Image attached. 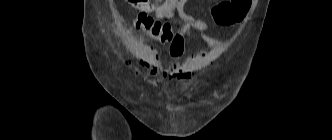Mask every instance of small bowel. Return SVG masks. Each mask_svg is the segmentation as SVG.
Returning a JSON list of instances; mask_svg holds the SVG:
<instances>
[{
	"label": "small bowel",
	"mask_w": 332,
	"mask_h": 140,
	"mask_svg": "<svg viewBox=\"0 0 332 140\" xmlns=\"http://www.w3.org/2000/svg\"><path fill=\"white\" fill-rule=\"evenodd\" d=\"M188 0H170L163 8L156 10V17L168 19L175 11L180 18V27L177 32H173L168 37H153L162 44L169 43L170 63L163 64L158 59L150 61L148 64L150 74L158 81H176L182 83L188 78V69L182 58L186 50V45L194 32L206 44L214 47L221 45L220 41L210 35L211 28L203 20L190 14L186 9ZM151 11V10H144Z\"/></svg>",
	"instance_id": "obj_1"
}]
</instances>
